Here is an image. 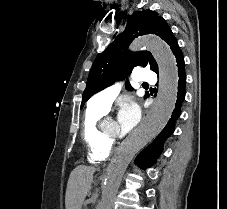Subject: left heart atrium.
<instances>
[{
    "label": "left heart atrium",
    "instance_id": "left-heart-atrium-1",
    "mask_svg": "<svg viewBox=\"0 0 227 209\" xmlns=\"http://www.w3.org/2000/svg\"><path fill=\"white\" fill-rule=\"evenodd\" d=\"M140 117V107L132 99L127 98L120 102L117 123L123 133L130 132L138 124Z\"/></svg>",
    "mask_w": 227,
    "mask_h": 209
}]
</instances>
